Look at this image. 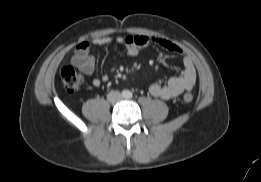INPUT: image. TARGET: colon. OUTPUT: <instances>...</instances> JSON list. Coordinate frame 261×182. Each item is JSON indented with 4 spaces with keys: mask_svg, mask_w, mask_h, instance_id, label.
Masks as SVG:
<instances>
[{
    "mask_svg": "<svg viewBox=\"0 0 261 182\" xmlns=\"http://www.w3.org/2000/svg\"><path fill=\"white\" fill-rule=\"evenodd\" d=\"M61 78L68 92H75L83 85V77L72 67H64L61 71ZM192 100L193 95L191 93H185L183 95V101L185 103H190Z\"/></svg>",
    "mask_w": 261,
    "mask_h": 182,
    "instance_id": "obj_1",
    "label": "colon"
}]
</instances>
